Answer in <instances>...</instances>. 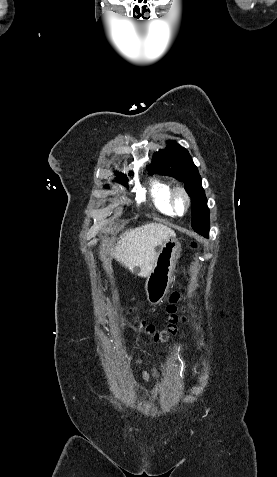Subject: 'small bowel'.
I'll use <instances>...</instances> for the list:
<instances>
[{
	"label": "small bowel",
	"instance_id": "1",
	"mask_svg": "<svg viewBox=\"0 0 277 477\" xmlns=\"http://www.w3.org/2000/svg\"><path fill=\"white\" fill-rule=\"evenodd\" d=\"M135 363L136 364H141V360L137 359L135 360ZM157 371L155 369H151V370H145L142 372V379L144 381H150L151 378L153 377H157Z\"/></svg>",
	"mask_w": 277,
	"mask_h": 477
}]
</instances>
